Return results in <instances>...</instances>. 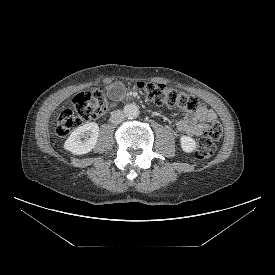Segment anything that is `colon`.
Instances as JSON below:
<instances>
[{
  "instance_id": "1",
  "label": "colon",
  "mask_w": 275,
  "mask_h": 275,
  "mask_svg": "<svg viewBox=\"0 0 275 275\" xmlns=\"http://www.w3.org/2000/svg\"><path fill=\"white\" fill-rule=\"evenodd\" d=\"M139 93L155 105L176 107L187 112H193L203 107L199 99L186 92L177 91L164 84L143 83L136 85ZM73 110H63L57 121L56 132L63 137L80 127L84 122L102 116L106 110V94L101 88L92 91L81 92L73 100ZM222 137V127L216 122L204 131L195 150L198 159L211 157L217 148V142Z\"/></svg>"
}]
</instances>
